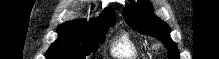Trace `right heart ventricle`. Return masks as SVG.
<instances>
[{
    "instance_id": "1",
    "label": "right heart ventricle",
    "mask_w": 219,
    "mask_h": 59,
    "mask_svg": "<svg viewBox=\"0 0 219 59\" xmlns=\"http://www.w3.org/2000/svg\"><path fill=\"white\" fill-rule=\"evenodd\" d=\"M111 54L118 59H137L139 47L127 32H123L114 41Z\"/></svg>"
}]
</instances>
